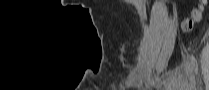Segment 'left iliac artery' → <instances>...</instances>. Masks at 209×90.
<instances>
[{
	"label": "left iliac artery",
	"instance_id": "obj_1",
	"mask_svg": "<svg viewBox=\"0 0 209 90\" xmlns=\"http://www.w3.org/2000/svg\"><path fill=\"white\" fill-rule=\"evenodd\" d=\"M189 59H190V63H191V66H192L194 72L197 74V72H198V64H197L196 58L193 55H190Z\"/></svg>",
	"mask_w": 209,
	"mask_h": 90
}]
</instances>
